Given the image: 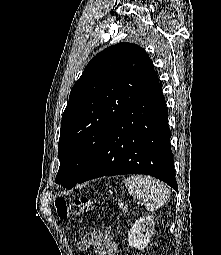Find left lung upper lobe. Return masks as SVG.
<instances>
[{"label": "left lung upper lobe", "instance_id": "left-lung-upper-lobe-1", "mask_svg": "<svg viewBox=\"0 0 221 255\" xmlns=\"http://www.w3.org/2000/svg\"><path fill=\"white\" fill-rule=\"evenodd\" d=\"M158 81L151 59L136 44L118 43L94 56L62 115L55 182L74 187L114 123Z\"/></svg>", "mask_w": 221, "mask_h": 255}]
</instances>
